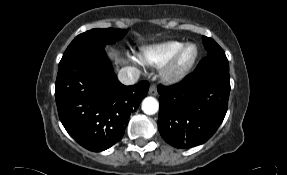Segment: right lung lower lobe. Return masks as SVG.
I'll return each mask as SVG.
<instances>
[{"instance_id": "1", "label": "right lung lower lobe", "mask_w": 287, "mask_h": 175, "mask_svg": "<svg viewBox=\"0 0 287 175\" xmlns=\"http://www.w3.org/2000/svg\"><path fill=\"white\" fill-rule=\"evenodd\" d=\"M148 88L147 81L124 86L103 47L87 49L59 63L55 87L59 118L81 146L106 150L123 137L130 114Z\"/></svg>"}]
</instances>
